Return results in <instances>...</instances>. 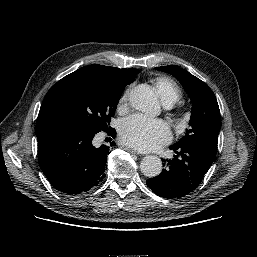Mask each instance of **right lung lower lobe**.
I'll return each instance as SVG.
<instances>
[{
  "label": "right lung lower lobe",
  "mask_w": 257,
  "mask_h": 257,
  "mask_svg": "<svg viewBox=\"0 0 257 257\" xmlns=\"http://www.w3.org/2000/svg\"><path fill=\"white\" fill-rule=\"evenodd\" d=\"M95 134L76 127L59 126L37 139L39 165L57 190L67 194L84 193L105 177L110 147L96 148L92 143ZM115 134L113 128L108 131L113 138Z\"/></svg>",
  "instance_id": "right-lung-lower-lobe-1"
}]
</instances>
